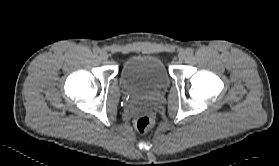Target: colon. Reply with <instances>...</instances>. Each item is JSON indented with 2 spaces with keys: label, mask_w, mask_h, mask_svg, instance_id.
<instances>
[{
  "label": "colon",
  "mask_w": 279,
  "mask_h": 166,
  "mask_svg": "<svg viewBox=\"0 0 279 166\" xmlns=\"http://www.w3.org/2000/svg\"><path fill=\"white\" fill-rule=\"evenodd\" d=\"M134 122L137 130L144 133L154 125V114L152 111H145L137 115Z\"/></svg>",
  "instance_id": "colon-1"
}]
</instances>
